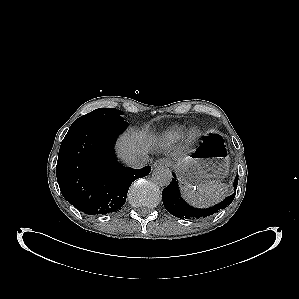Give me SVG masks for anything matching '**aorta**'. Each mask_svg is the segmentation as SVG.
<instances>
[{
	"instance_id": "762f6f07",
	"label": "aorta",
	"mask_w": 299,
	"mask_h": 299,
	"mask_svg": "<svg viewBox=\"0 0 299 299\" xmlns=\"http://www.w3.org/2000/svg\"><path fill=\"white\" fill-rule=\"evenodd\" d=\"M152 180L160 186H167L172 181V173L165 167L156 169L152 173Z\"/></svg>"
}]
</instances>
